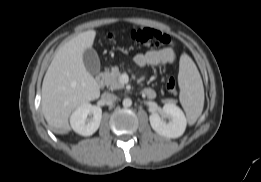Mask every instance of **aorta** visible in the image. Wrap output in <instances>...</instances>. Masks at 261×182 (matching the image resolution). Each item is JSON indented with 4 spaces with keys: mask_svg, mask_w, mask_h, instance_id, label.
<instances>
[{
    "mask_svg": "<svg viewBox=\"0 0 261 182\" xmlns=\"http://www.w3.org/2000/svg\"><path fill=\"white\" fill-rule=\"evenodd\" d=\"M122 104L124 107H130L132 105V100L130 98H125Z\"/></svg>",
    "mask_w": 261,
    "mask_h": 182,
    "instance_id": "aorta-1",
    "label": "aorta"
}]
</instances>
